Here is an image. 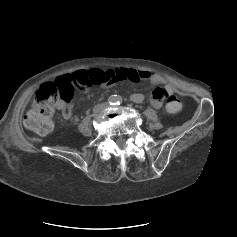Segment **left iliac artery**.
Listing matches in <instances>:
<instances>
[{
    "label": "left iliac artery",
    "instance_id": "left-iliac-artery-1",
    "mask_svg": "<svg viewBox=\"0 0 237 237\" xmlns=\"http://www.w3.org/2000/svg\"><path fill=\"white\" fill-rule=\"evenodd\" d=\"M122 103V98L121 97H118L117 98V104H121Z\"/></svg>",
    "mask_w": 237,
    "mask_h": 237
}]
</instances>
